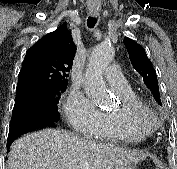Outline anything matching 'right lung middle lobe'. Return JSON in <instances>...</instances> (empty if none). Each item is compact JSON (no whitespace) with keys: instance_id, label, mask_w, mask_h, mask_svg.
Masks as SVG:
<instances>
[{"instance_id":"1","label":"right lung middle lobe","mask_w":177,"mask_h":169,"mask_svg":"<svg viewBox=\"0 0 177 169\" xmlns=\"http://www.w3.org/2000/svg\"><path fill=\"white\" fill-rule=\"evenodd\" d=\"M66 87L46 92L29 91L15 98L12 117L40 115L59 120L58 103Z\"/></svg>"}]
</instances>
